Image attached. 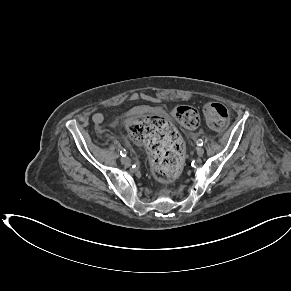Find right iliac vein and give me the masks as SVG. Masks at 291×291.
Returning a JSON list of instances; mask_svg holds the SVG:
<instances>
[{
    "instance_id": "right-iliac-vein-1",
    "label": "right iliac vein",
    "mask_w": 291,
    "mask_h": 291,
    "mask_svg": "<svg viewBox=\"0 0 291 291\" xmlns=\"http://www.w3.org/2000/svg\"><path fill=\"white\" fill-rule=\"evenodd\" d=\"M121 162L125 165H129L130 164V159L127 156H124L121 158Z\"/></svg>"
}]
</instances>
